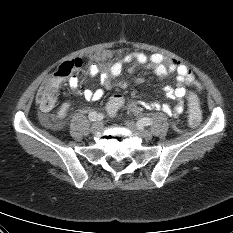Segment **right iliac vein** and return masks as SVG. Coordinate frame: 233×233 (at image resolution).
I'll use <instances>...</instances> for the list:
<instances>
[{
    "instance_id": "right-iliac-vein-1",
    "label": "right iliac vein",
    "mask_w": 233,
    "mask_h": 233,
    "mask_svg": "<svg viewBox=\"0 0 233 233\" xmlns=\"http://www.w3.org/2000/svg\"><path fill=\"white\" fill-rule=\"evenodd\" d=\"M102 128V123L100 121H96L91 126V131L96 132Z\"/></svg>"
}]
</instances>
